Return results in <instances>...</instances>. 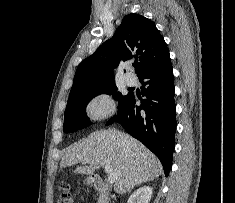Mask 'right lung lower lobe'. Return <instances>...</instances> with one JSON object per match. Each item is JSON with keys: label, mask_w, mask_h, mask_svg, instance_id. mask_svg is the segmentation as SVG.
<instances>
[{"label": "right lung lower lobe", "mask_w": 235, "mask_h": 203, "mask_svg": "<svg viewBox=\"0 0 235 203\" xmlns=\"http://www.w3.org/2000/svg\"><path fill=\"white\" fill-rule=\"evenodd\" d=\"M140 82L148 86L142 90L146 97L141 105L129 93L119 106L117 115L106 125L121 124L134 138L141 141L161 161L165 175L172 166L175 147L176 107L174 101V77L171 60L146 70Z\"/></svg>", "instance_id": "98d812e1"}]
</instances>
